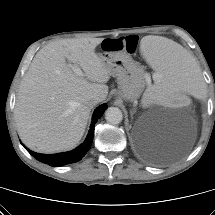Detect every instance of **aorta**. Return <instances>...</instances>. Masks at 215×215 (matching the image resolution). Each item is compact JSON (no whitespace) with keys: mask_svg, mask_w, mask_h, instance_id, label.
Segmentation results:
<instances>
[{"mask_svg":"<svg viewBox=\"0 0 215 215\" xmlns=\"http://www.w3.org/2000/svg\"><path fill=\"white\" fill-rule=\"evenodd\" d=\"M105 119L110 124L113 125L119 124L123 120L122 111L117 107H109L105 111Z\"/></svg>","mask_w":215,"mask_h":215,"instance_id":"obj_1","label":"aorta"}]
</instances>
